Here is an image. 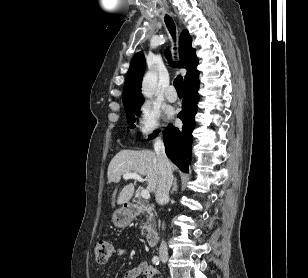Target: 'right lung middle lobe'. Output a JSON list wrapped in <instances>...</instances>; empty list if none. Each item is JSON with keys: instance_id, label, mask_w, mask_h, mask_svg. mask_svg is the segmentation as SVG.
Returning <instances> with one entry per match:
<instances>
[{"instance_id": "1", "label": "right lung middle lobe", "mask_w": 308, "mask_h": 278, "mask_svg": "<svg viewBox=\"0 0 308 278\" xmlns=\"http://www.w3.org/2000/svg\"><path fill=\"white\" fill-rule=\"evenodd\" d=\"M139 108H140V106L130 107L128 109H125L126 115H127V121H128L131 128L135 127V125H134V121H135L134 114H136V115L139 114ZM156 132H159V131H156ZM154 137H156V135H152L151 137H149V139H152Z\"/></svg>"}]
</instances>
